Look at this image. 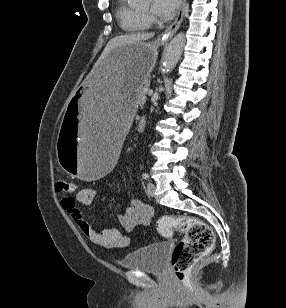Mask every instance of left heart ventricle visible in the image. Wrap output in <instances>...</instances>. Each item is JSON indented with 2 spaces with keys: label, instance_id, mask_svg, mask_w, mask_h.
I'll use <instances>...</instances> for the list:
<instances>
[{
  "label": "left heart ventricle",
  "instance_id": "b2bd125f",
  "mask_svg": "<svg viewBox=\"0 0 286 308\" xmlns=\"http://www.w3.org/2000/svg\"><path fill=\"white\" fill-rule=\"evenodd\" d=\"M149 9H150V4L148 3L142 8L141 12H149Z\"/></svg>",
  "mask_w": 286,
  "mask_h": 308
}]
</instances>
